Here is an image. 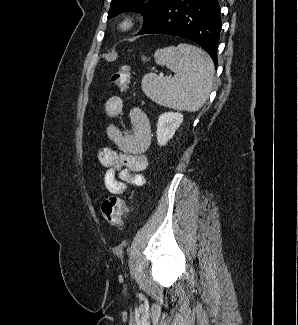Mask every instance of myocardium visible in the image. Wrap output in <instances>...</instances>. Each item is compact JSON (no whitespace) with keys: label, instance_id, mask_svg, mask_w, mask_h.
Listing matches in <instances>:
<instances>
[{"label":"myocardium","instance_id":"obj_1","mask_svg":"<svg viewBox=\"0 0 298 325\" xmlns=\"http://www.w3.org/2000/svg\"><path fill=\"white\" fill-rule=\"evenodd\" d=\"M130 25H123L122 27H121V29H122V31H128L129 29H130Z\"/></svg>","mask_w":298,"mask_h":325}]
</instances>
